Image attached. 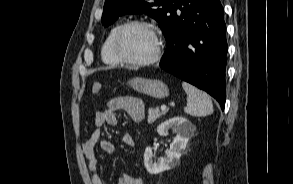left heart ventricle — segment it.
<instances>
[{
  "label": "left heart ventricle",
  "mask_w": 293,
  "mask_h": 184,
  "mask_svg": "<svg viewBox=\"0 0 293 184\" xmlns=\"http://www.w3.org/2000/svg\"><path fill=\"white\" fill-rule=\"evenodd\" d=\"M119 49L130 59H146L155 51V39L147 28L130 27L121 35Z\"/></svg>",
  "instance_id": "obj_1"
}]
</instances>
